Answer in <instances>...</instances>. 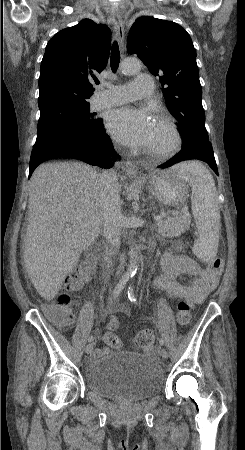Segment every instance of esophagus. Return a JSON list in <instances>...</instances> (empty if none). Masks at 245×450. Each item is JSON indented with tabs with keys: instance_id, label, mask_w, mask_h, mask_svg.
I'll list each match as a JSON object with an SVG mask.
<instances>
[{
	"instance_id": "34e87169",
	"label": "esophagus",
	"mask_w": 245,
	"mask_h": 450,
	"mask_svg": "<svg viewBox=\"0 0 245 450\" xmlns=\"http://www.w3.org/2000/svg\"><path fill=\"white\" fill-rule=\"evenodd\" d=\"M110 18L112 20L114 32H115L116 38L118 40V43H119L120 47L123 48L124 34H125L124 23L122 21V17L120 15L119 11L114 7H112V9H111ZM124 170H125L127 176L131 179H135L139 175V169H138L137 165L130 159H127L125 161Z\"/></svg>"
}]
</instances>
